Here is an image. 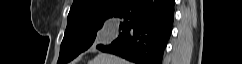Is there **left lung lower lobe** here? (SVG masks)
Wrapping results in <instances>:
<instances>
[{"label": "left lung lower lobe", "instance_id": "obj_1", "mask_svg": "<svg viewBox=\"0 0 242 64\" xmlns=\"http://www.w3.org/2000/svg\"><path fill=\"white\" fill-rule=\"evenodd\" d=\"M174 0H129L112 18L120 20L119 36L96 49L136 64H162L174 21Z\"/></svg>", "mask_w": 242, "mask_h": 64}]
</instances>
